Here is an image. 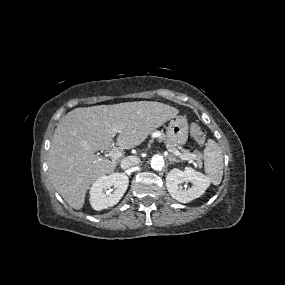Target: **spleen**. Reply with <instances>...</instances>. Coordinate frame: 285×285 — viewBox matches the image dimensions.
<instances>
[{"instance_id":"obj_1","label":"spleen","mask_w":285,"mask_h":285,"mask_svg":"<svg viewBox=\"0 0 285 285\" xmlns=\"http://www.w3.org/2000/svg\"><path fill=\"white\" fill-rule=\"evenodd\" d=\"M223 155L219 145L208 140L204 149V169L207 178L213 185H219L223 175Z\"/></svg>"}]
</instances>
